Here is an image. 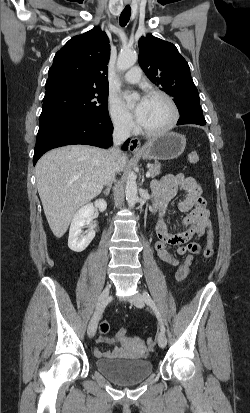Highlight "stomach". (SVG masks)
Masks as SVG:
<instances>
[{
	"instance_id": "1",
	"label": "stomach",
	"mask_w": 250,
	"mask_h": 413,
	"mask_svg": "<svg viewBox=\"0 0 250 413\" xmlns=\"http://www.w3.org/2000/svg\"><path fill=\"white\" fill-rule=\"evenodd\" d=\"M186 146L184 135L176 132H166L149 140L137 154L143 159L171 160L180 156Z\"/></svg>"
}]
</instances>
